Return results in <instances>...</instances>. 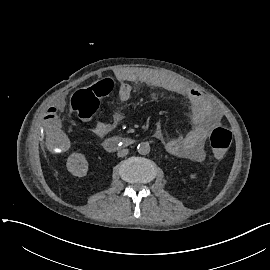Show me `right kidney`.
<instances>
[{"instance_id": "1", "label": "right kidney", "mask_w": 270, "mask_h": 270, "mask_svg": "<svg viewBox=\"0 0 270 270\" xmlns=\"http://www.w3.org/2000/svg\"><path fill=\"white\" fill-rule=\"evenodd\" d=\"M79 162H82L81 166H77ZM67 170L77 177H84L88 173V162L86 156L82 153H72L66 163Z\"/></svg>"}]
</instances>
